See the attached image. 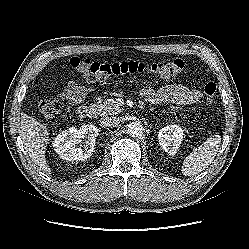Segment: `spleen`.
I'll return each instance as SVG.
<instances>
[{
    "instance_id": "spleen-1",
    "label": "spleen",
    "mask_w": 249,
    "mask_h": 249,
    "mask_svg": "<svg viewBox=\"0 0 249 249\" xmlns=\"http://www.w3.org/2000/svg\"><path fill=\"white\" fill-rule=\"evenodd\" d=\"M221 143V137L215 135L208 138L195 151L189 154L183 162V174L192 176L205 170L214 160Z\"/></svg>"
}]
</instances>
